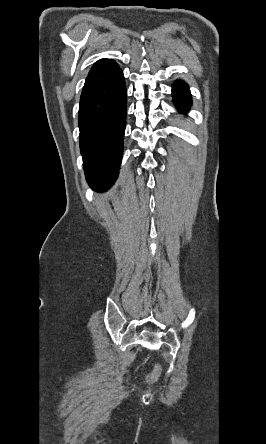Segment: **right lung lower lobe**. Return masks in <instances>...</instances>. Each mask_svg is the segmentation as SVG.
I'll return each instance as SVG.
<instances>
[{
	"mask_svg": "<svg viewBox=\"0 0 266 444\" xmlns=\"http://www.w3.org/2000/svg\"><path fill=\"white\" fill-rule=\"evenodd\" d=\"M126 111L123 72L115 61L108 60L87 76L78 115L86 179L96 191L110 188L118 176Z\"/></svg>",
	"mask_w": 266,
	"mask_h": 444,
	"instance_id": "right-lung-lower-lobe-1",
	"label": "right lung lower lobe"
}]
</instances>
